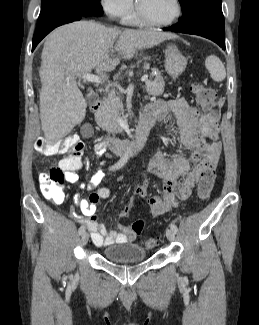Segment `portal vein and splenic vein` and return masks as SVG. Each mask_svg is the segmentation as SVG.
Segmentation results:
<instances>
[{
	"label": "portal vein and splenic vein",
	"instance_id": "18ae733b",
	"mask_svg": "<svg viewBox=\"0 0 259 325\" xmlns=\"http://www.w3.org/2000/svg\"><path fill=\"white\" fill-rule=\"evenodd\" d=\"M81 78L83 80H85V81H90V82H94V83H98V84L103 83L102 79H100V77H98V76H96L94 74H90V73L82 74ZM147 79H148V75L145 74V75L142 76L141 81L144 82V81H147Z\"/></svg>",
	"mask_w": 259,
	"mask_h": 325
}]
</instances>
